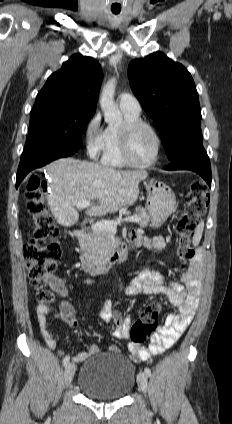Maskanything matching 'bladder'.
Segmentation results:
<instances>
[{"instance_id": "obj_1", "label": "bladder", "mask_w": 232, "mask_h": 424, "mask_svg": "<svg viewBox=\"0 0 232 424\" xmlns=\"http://www.w3.org/2000/svg\"><path fill=\"white\" fill-rule=\"evenodd\" d=\"M136 381L135 366L122 354L100 353L81 366L78 387L96 399H122Z\"/></svg>"}]
</instances>
